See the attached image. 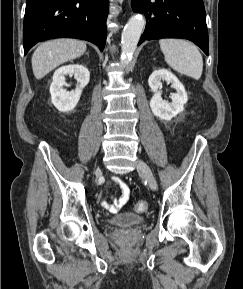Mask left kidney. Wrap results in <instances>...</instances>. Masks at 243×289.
Here are the masks:
<instances>
[{"label":"left kidney","mask_w":243,"mask_h":289,"mask_svg":"<svg viewBox=\"0 0 243 289\" xmlns=\"http://www.w3.org/2000/svg\"><path fill=\"white\" fill-rule=\"evenodd\" d=\"M162 80L171 83V86L176 90V93L170 95L171 102L161 98ZM148 83L154 92L150 100V108L156 117L169 121L184 110V104L188 100L187 93L183 84L170 71L166 69L155 70L150 75Z\"/></svg>","instance_id":"1"}]
</instances>
